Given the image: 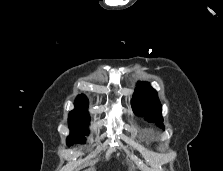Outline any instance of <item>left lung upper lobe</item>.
Segmentation results:
<instances>
[{
  "instance_id": "1",
  "label": "left lung upper lobe",
  "mask_w": 223,
  "mask_h": 171,
  "mask_svg": "<svg viewBox=\"0 0 223 171\" xmlns=\"http://www.w3.org/2000/svg\"><path fill=\"white\" fill-rule=\"evenodd\" d=\"M132 108L136 115L144 116L148 122H153L164 129L162 107L157 92L148 83L139 82L137 84L132 98Z\"/></svg>"
}]
</instances>
